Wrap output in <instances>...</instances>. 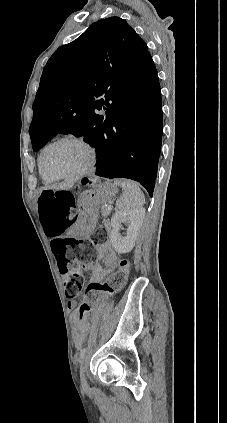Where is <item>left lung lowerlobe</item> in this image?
Wrapping results in <instances>:
<instances>
[{
	"mask_svg": "<svg viewBox=\"0 0 227 423\" xmlns=\"http://www.w3.org/2000/svg\"><path fill=\"white\" fill-rule=\"evenodd\" d=\"M106 115L93 137L85 139L97 150L96 175L138 181L152 197L163 132L157 72L143 90L138 108Z\"/></svg>",
	"mask_w": 227,
	"mask_h": 423,
	"instance_id": "0a47b994",
	"label": "left lung lower lobe"
}]
</instances>
